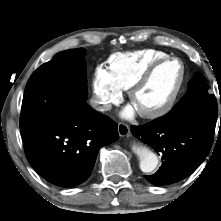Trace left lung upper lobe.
Masks as SVG:
<instances>
[{
  "label": "left lung upper lobe",
  "instance_id": "5c2ea615",
  "mask_svg": "<svg viewBox=\"0 0 221 221\" xmlns=\"http://www.w3.org/2000/svg\"><path fill=\"white\" fill-rule=\"evenodd\" d=\"M209 86L205 78L197 75L189 82L186 95L165 116L158 118L161 123H177L185 121L216 122L217 101L208 93Z\"/></svg>",
  "mask_w": 221,
  "mask_h": 221
}]
</instances>
